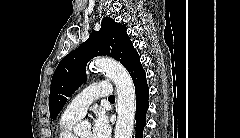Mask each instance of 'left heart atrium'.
I'll return each instance as SVG.
<instances>
[{
    "label": "left heart atrium",
    "mask_w": 240,
    "mask_h": 138,
    "mask_svg": "<svg viewBox=\"0 0 240 138\" xmlns=\"http://www.w3.org/2000/svg\"><path fill=\"white\" fill-rule=\"evenodd\" d=\"M110 135V126L106 116L98 112L91 131V138H108Z\"/></svg>",
    "instance_id": "1"
}]
</instances>
